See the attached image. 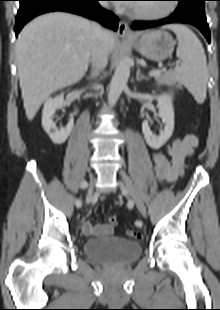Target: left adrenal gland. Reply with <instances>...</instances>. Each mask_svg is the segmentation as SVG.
Segmentation results:
<instances>
[{
    "label": "left adrenal gland",
    "instance_id": "1",
    "mask_svg": "<svg viewBox=\"0 0 220 310\" xmlns=\"http://www.w3.org/2000/svg\"><path fill=\"white\" fill-rule=\"evenodd\" d=\"M143 79L148 80L147 77H145L144 75L141 74L140 68H138V69H137V73H136V80H137V81H141V80H143Z\"/></svg>",
    "mask_w": 220,
    "mask_h": 310
}]
</instances>
